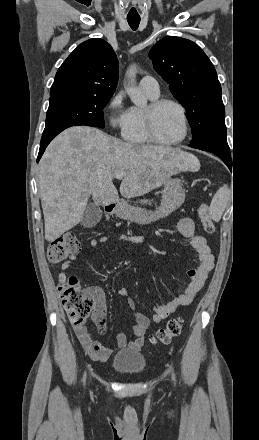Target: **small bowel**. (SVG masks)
<instances>
[{"label": "small bowel", "mask_w": 259, "mask_h": 440, "mask_svg": "<svg viewBox=\"0 0 259 440\" xmlns=\"http://www.w3.org/2000/svg\"><path fill=\"white\" fill-rule=\"evenodd\" d=\"M175 228L189 243L197 257L195 266L187 272L189 283L182 293L171 299L166 304L155 307L154 313L151 316H146L143 313L135 311V302L131 297H128L127 306L130 310L134 311L133 315L136 325L132 330V340L128 341V337L123 333H119L116 336V345L119 348L129 346L135 350L140 349L143 346L145 333L149 326L151 324L159 323L161 320L167 318L177 308L189 305L203 287L208 274L214 267V256L211 252V249L207 244L206 238L202 235L196 234L193 220L190 218H183L175 224ZM117 240L136 243L140 241V238L130 235H119ZM108 241V237L102 236L92 239L90 241V245L92 247H97L99 245L108 243ZM76 258V255H73L69 258V260L65 261L61 265V271L58 276L60 282L66 281L67 278L65 271L70 267L71 262L76 260ZM91 289L95 298L93 321L95 322L98 331L103 333L106 328V304L104 295L101 289L97 287H93ZM118 293L122 296L128 295V291L126 289H120ZM74 330L81 345L92 359L96 361H105L113 353V348L107 347L95 340L85 326L75 327Z\"/></svg>", "instance_id": "1"}]
</instances>
